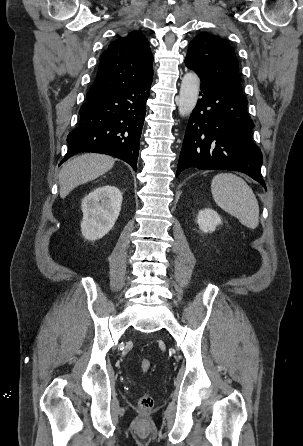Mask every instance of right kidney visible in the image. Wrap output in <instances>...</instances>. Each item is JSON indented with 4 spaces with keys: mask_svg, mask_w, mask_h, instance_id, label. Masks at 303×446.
I'll return each mask as SVG.
<instances>
[{
    "mask_svg": "<svg viewBox=\"0 0 303 446\" xmlns=\"http://www.w3.org/2000/svg\"><path fill=\"white\" fill-rule=\"evenodd\" d=\"M122 193L115 186L96 188L82 200L81 232L85 239L95 241L114 226L122 204Z\"/></svg>",
    "mask_w": 303,
    "mask_h": 446,
    "instance_id": "obj_1",
    "label": "right kidney"
}]
</instances>
